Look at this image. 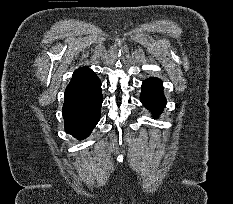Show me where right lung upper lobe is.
Returning <instances> with one entry per match:
<instances>
[{"label": "right lung upper lobe", "mask_w": 233, "mask_h": 204, "mask_svg": "<svg viewBox=\"0 0 233 204\" xmlns=\"http://www.w3.org/2000/svg\"><path fill=\"white\" fill-rule=\"evenodd\" d=\"M87 69H88L87 67L79 68L78 70H76V71L74 72L73 76L76 75V74H79V73H81V72H83V71H85V70H87Z\"/></svg>", "instance_id": "right-lung-upper-lobe-1"}]
</instances>
